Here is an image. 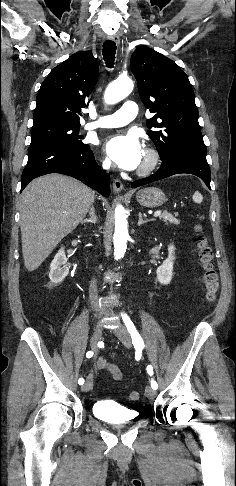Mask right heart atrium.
I'll use <instances>...</instances> for the list:
<instances>
[{
  "label": "right heart atrium",
  "mask_w": 236,
  "mask_h": 486,
  "mask_svg": "<svg viewBox=\"0 0 236 486\" xmlns=\"http://www.w3.org/2000/svg\"><path fill=\"white\" fill-rule=\"evenodd\" d=\"M101 166L103 169L107 170L110 168V162L107 159H105L102 161Z\"/></svg>",
  "instance_id": "1"
}]
</instances>
